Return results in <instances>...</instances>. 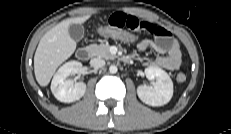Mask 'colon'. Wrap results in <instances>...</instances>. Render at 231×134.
I'll return each mask as SVG.
<instances>
[{"label":"colon","instance_id":"1","mask_svg":"<svg viewBox=\"0 0 231 134\" xmlns=\"http://www.w3.org/2000/svg\"><path fill=\"white\" fill-rule=\"evenodd\" d=\"M97 33L103 37L111 38L127 44L137 45L142 41L140 37L134 32L121 28H115L109 25L98 27ZM176 80L179 83H183L186 81V75L184 73H178L176 76Z\"/></svg>","mask_w":231,"mask_h":134}]
</instances>
